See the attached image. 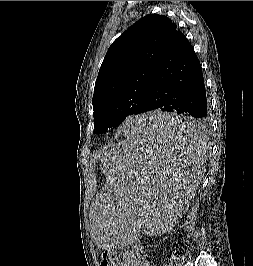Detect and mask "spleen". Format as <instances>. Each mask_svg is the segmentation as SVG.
<instances>
[{"label":"spleen","mask_w":253,"mask_h":266,"mask_svg":"<svg viewBox=\"0 0 253 266\" xmlns=\"http://www.w3.org/2000/svg\"><path fill=\"white\" fill-rule=\"evenodd\" d=\"M127 117L104 161L109 207H92L94 246L139 248L141 235L175 229L179 214L192 204L202 176L204 123L179 111H146Z\"/></svg>","instance_id":"1"}]
</instances>
